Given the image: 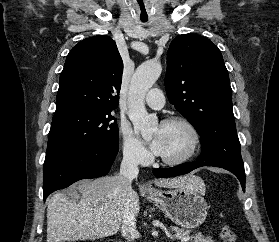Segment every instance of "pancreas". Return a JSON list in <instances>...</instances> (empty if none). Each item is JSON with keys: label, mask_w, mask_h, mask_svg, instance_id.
Here are the masks:
<instances>
[{"label": "pancreas", "mask_w": 279, "mask_h": 242, "mask_svg": "<svg viewBox=\"0 0 279 242\" xmlns=\"http://www.w3.org/2000/svg\"><path fill=\"white\" fill-rule=\"evenodd\" d=\"M171 230L173 232H175V236H177L179 238L186 237V236H188L190 234V231L181 229V228L176 227V226H171ZM191 242H214V241L209 236L205 237V236H203L201 234H196L193 237V240Z\"/></svg>", "instance_id": "pancreas-1"}]
</instances>
